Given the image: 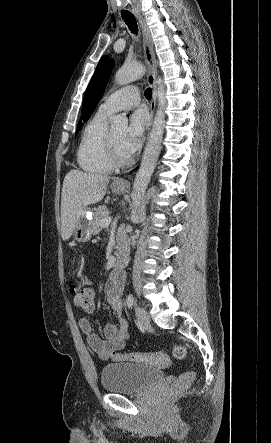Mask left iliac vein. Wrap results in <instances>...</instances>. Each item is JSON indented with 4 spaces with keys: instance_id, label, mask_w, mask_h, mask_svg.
Instances as JSON below:
<instances>
[{
    "instance_id": "left-iliac-vein-1",
    "label": "left iliac vein",
    "mask_w": 271,
    "mask_h": 443,
    "mask_svg": "<svg viewBox=\"0 0 271 443\" xmlns=\"http://www.w3.org/2000/svg\"><path fill=\"white\" fill-rule=\"evenodd\" d=\"M136 316L143 327L146 328L150 326V317L148 312L144 308L137 306Z\"/></svg>"
}]
</instances>
